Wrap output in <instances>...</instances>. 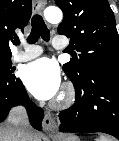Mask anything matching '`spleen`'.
Listing matches in <instances>:
<instances>
[{
  "label": "spleen",
  "mask_w": 119,
  "mask_h": 141,
  "mask_svg": "<svg viewBox=\"0 0 119 141\" xmlns=\"http://www.w3.org/2000/svg\"><path fill=\"white\" fill-rule=\"evenodd\" d=\"M95 141H110V140L108 138L102 136V137L95 139Z\"/></svg>",
  "instance_id": "3e777b00"
}]
</instances>
